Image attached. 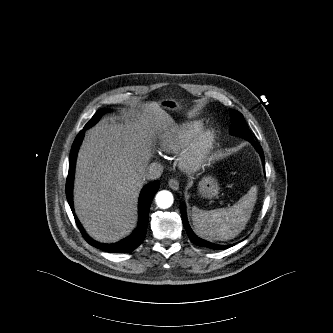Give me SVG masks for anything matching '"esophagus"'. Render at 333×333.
<instances>
[{
	"instance_id": "esophagus-1",
	"label": "esophagus",
	"mask_w": 333,
	"mask_h": 333,
	"mask_svg": "<svg viewBox=\"0 0 333 333\" xmlns=\"http://www.w3.org/2000/svg\"><path fill=\"white\" fill-rule=\"evenodd\" d=\"M168 185L173 190H178L179 189V182L175 178L170 179L169 182H168Z\"/></svg>"
}]
</instances>
